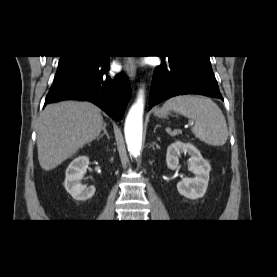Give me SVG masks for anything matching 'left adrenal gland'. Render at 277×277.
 Instances as JSON below:
<instances>
[{
	"instance_id": "a2214340",
	"label": "left adrenal gland",
	"mask_w": 277,
	"mask_h": 277,
	"mask_svg": "<svg viewBox=\"0 0 277 277\" xmlns=\"http://www.w3.org/2000/svg\"><path fill=\"white\" fill-rule=\"evenodd\" d=\"M159 127V125H156L155 126V128H154V133H155V131H156V129Z\"/></svg>"
}]
</instances>
